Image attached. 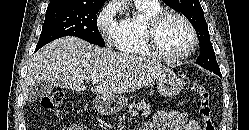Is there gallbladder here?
<instances>
[{"label": "gallbladder", "instance_id": "gallbladder-1", "mask_svg": "<svg viewBox=\"0 0 249 130\" xmlns=\"http://www.w3.org/2000/svg\"><path fill=\"white\" fill-rule=\"evenodd\" d=\"M53 86L44 81H37L28 93V101L33 102L38 98H44L51 95Z\"/></svg>", "mask_w": 249, "mask_h": 130}]
</instances>
